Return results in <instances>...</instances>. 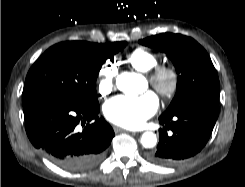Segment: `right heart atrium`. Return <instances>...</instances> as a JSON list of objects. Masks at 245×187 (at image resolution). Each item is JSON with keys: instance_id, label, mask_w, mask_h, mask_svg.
<instances>
[{"instance_id": "1", "label": "right heart atrium", "mask_w": 245, "mask_h": 187, "mask_svg": "<svg viewBox=\"0 0 245 187\" xmlns=\"http://www.w3.org/2000/svg\"><path fill=\"white\" fill-rule=\"evenodd\" d=\"M116 75V63L114 61H106L99 71L97 82V93L100 97H106L114 90Z\"/></svg>"}]
</instances>
